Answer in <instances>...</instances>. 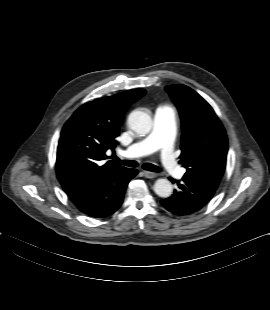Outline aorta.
Masks as SVG:
<instances>
[{
	"mask_svg": "<svg viewBox=\"0 0 270 310\" xmlns=\"http://www.w3.org/2000/svg\"><path fill=\"white\" fill-rule=\"evenodd\" d=\"M129 127L141 136L147 135L152 128V119L149 114L142 110L133 111L128 118ZM154 192L162 198H167L172 194L173 188L168 179H157L154 183Z\"/></svg>",
	"mask_w": 270,
	"mask_h": 310,
	"instance_id": "762f6f07",
	"label": "aorta"
}]
</instances>
